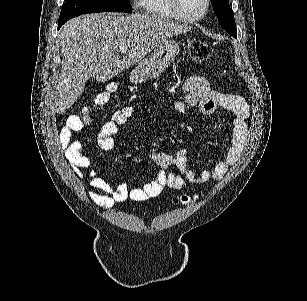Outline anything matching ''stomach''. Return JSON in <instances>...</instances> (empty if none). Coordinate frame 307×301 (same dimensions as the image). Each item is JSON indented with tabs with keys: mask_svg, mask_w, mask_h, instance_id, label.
Returning a JSON list of instances; mask_svg holds the SVG:
<instances>
[{
	"mask_svg": "<svg viewBox=\"0 0 307 301\" xmlns=\"http://www.w3.org/2000/svg\"><path fill=\"white\" fill-rule=\"evenodd\" d=\"M180 52V44L177 40L167 38L163 40L162 44H158L154 48L152 54L143 58L139 64H136L135 68L130 72V82L139 84L149 78H157L161 72H164L165 68L173 62L177 54Z\"/></svg>",
	"mask_w": 307,
	"mask_h": 301,
	"instance_id": "0dacf381",
	"label": "stomach"
}]
</instances>
